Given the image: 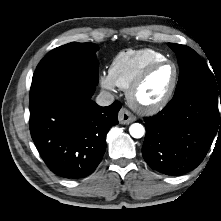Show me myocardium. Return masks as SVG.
<instances>
[{"instance_id": "1", "label": "myocardium", "mask_w": 221, "mask_h": 221, "mask_svg": "<svg viewBox=\"0 0 221 221\" xmlns=\"http://www.w3.org/2000/svg\"><path fill=\"white\" fill-rule=\"evenodd\" d=\"M171 65L174 70L172 82L165 92V94L155 103L152 104H142L137 99V92L140 87L143 85L145 80L148 78L150 73L159 66L162 65ZM179 79V69L176 63L170 59H162L158 61H154L149 63L147 66L143 68V70L137 75V77L133 80L130 86L127 88V99L130 105L137 110L138 112L144 114H154L162 110L172 99L173 94L176 90Z\"/></svg>"}]
</instances>
